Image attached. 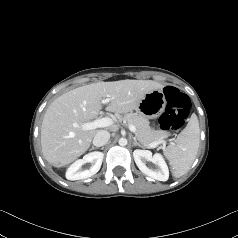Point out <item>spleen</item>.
<instances>
[{"label": "spleen", "mask_w": 238, "mask_h": 238, "mask_svg": "<svg viewBox=\"0 0 238 238\" xmlns=\"http://www.w3.org/2000/svg\"><path fill=\"white\" fill-rule=\"evenodd\" d=\"M199 142V122L196 114H192L187 126L180 132L175 143L163 150L164 156L171 165L173 176L180 177L188 172L196 158Z\"/></svg>", "instance_id": "3e777b00"}]
</instances>
